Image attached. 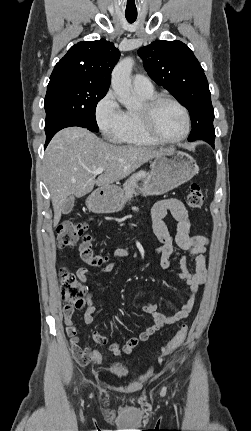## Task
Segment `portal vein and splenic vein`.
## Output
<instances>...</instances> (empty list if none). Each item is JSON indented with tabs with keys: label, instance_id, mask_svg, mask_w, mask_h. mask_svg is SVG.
<instances>
[{
	"label": "portal vein and splenic vein",
	"instance_id": "18ae733b",
	"mask_svg": "<svg viewBox=\"0 0 251 431\" xmlns=\"http://www.w3.org/2000/svg\"><path fill=\"white\" fill-rule=\"evenodd\" d=\"M103 171H104V168L99 167V168H97L96 170L93 171V174L94 175H98V174L103 173Z\"/></svg>",
	"mask_w": 251,
	"mask_h": 431
}]
</instances>
